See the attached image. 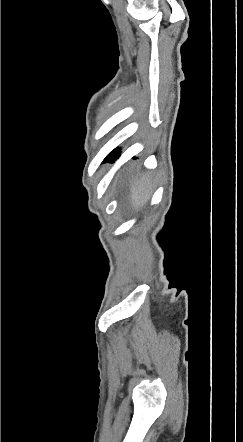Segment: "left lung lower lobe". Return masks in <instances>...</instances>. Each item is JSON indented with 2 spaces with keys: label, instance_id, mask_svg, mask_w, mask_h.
Masks as SVG:
<instances>
[{
  "label": "left lung lower lobe",
  "instance_id": "0a47b994",
  "mask_svg": "<svg viewBox=\"0 0 243 442\" xmlns=\"http://www.w3.org/2000/svg\"><path fill=\"white\" fill-rule=\"evenodd\" d=\"M120 150L114 149L106 158V161H112L115 160L119 156Z\"/></svg>",
  "mask_w": 243,
  "mask_h": 442
}]
</instances>
